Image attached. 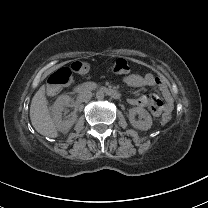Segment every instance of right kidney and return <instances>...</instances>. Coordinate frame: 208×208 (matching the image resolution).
Listing matches in <instances>:
<instances>
[{
	"instance_id": "obj_1",
	"label": "right kidney",
	"mask_w": 208,
	"mask_h": 208,
	"mask_svg": "<svg viewBox=\"0 0 208 208\" xmlns=\"http://www.w3.org/2000/svg\"><path fill=\"white\" fill-rule=\"evenodd\" d=\"M70 103L71 98L68 95H60L51 107L53 122L57 130L61 132H68L77 120V115L75 113L67 120L62 119V112L65 107L70 105Z\"/></svg>"
}]
</instances>
